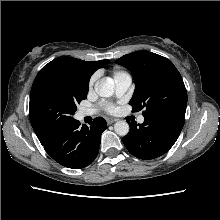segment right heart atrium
Returning a JSON list of instances; mask_svg holds the SVG:
<instances>
[{"label":"right heart atrium","mask_w":220,"mask_h":220,"mask_svg":"<svg viewBox=\"0 0 220 220\" xmlns=\"http://www.w3.org/2000/svg\"><path fill=\"white\" fill-rule=\"evenodd\" d=\"M93 83H94V79H91V80H90V83H89V87H90V88L93 86Z\"/></svg>","instance_id":"right-heart-atrium-1"}]
</instances>
